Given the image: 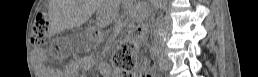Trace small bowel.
<instances>
[{"instance_id": "1", "label": "small bowel", "mask_w": 258, "mask_h": 77, "mask_svg": "<svg viewBox=\"0 0 258 77\" xmlns=\"http://www.w3.org/2000/svg\"><path fill=\"white\" fill-rule=\"evenodd\" d=\"M137 73H142V69L139 68V69L137 70Z\"/></svg>"}]
</instances>
